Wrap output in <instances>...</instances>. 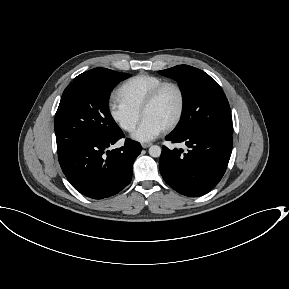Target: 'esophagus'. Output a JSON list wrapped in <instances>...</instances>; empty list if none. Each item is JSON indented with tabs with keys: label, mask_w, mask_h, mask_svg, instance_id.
<instances>
[{
	"label": "esophagus",
	"mask_w": 289,
	"mask_h": 289,
	"mask_svg": "<svg viewBox=\"0 0 289 289\" xmlns=\"http://www.w3.org/2000/svg\"><path fill=\"white\" fill-rule=\"evenodd\" d=\"M152 144L151 143H142V148L146 149L148 147H150Z\"/></svg>",
	"instance_id": "1"
}]
</instances>
